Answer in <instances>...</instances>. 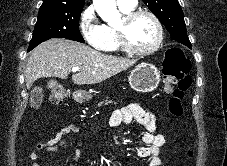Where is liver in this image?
<instances>
[{
  "instance_id": "obj_1",
  "label": "liver",
  "mask_w": 227,
  "mask_h": 166,
  "mask_svg": "<svg viewBox=\"0 0 227 166\" xmlns=\"http://www.w3.org/2000/svg\"><path fill=\"white\" fill-rule=\"evenodd\" d=\"M136 62V59L103 54L76 41L52 38L31 52L25 70V81L27 88H30L41 77L66 79L71 69L78 67V73L72 76L74 84H98Z\"/></svg>"
}]
</instances>
